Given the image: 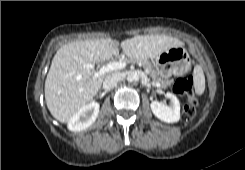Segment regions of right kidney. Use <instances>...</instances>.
Returning a JSON list of instances; mask_svg holds the SVG:
<instances>
[{
	"instance_id": "1",
	"label": "right kidney",
	"mask_w": 245,
	"mask_h": 170,
	"mask_svg": "<svg viewBox=\"0 0 245 170\" xmlns=\"http://www.w3.org/2000/svg\"><path fill=\"white\" fill-rule=\"evenodd\" d=\"M99 103L91 102L80 108L68 121V129L79 132L90 127L98 117Z\"/></svg>"
}]
</instances>
